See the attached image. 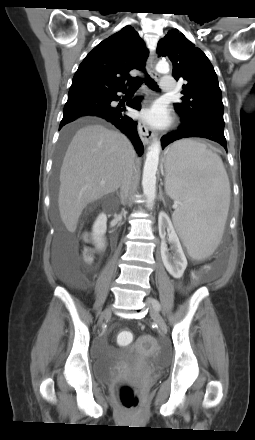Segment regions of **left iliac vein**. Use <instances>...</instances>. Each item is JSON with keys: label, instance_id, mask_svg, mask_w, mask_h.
<instances>
[{"label": "left iliac vein", "instance_id": "4c4485c4", "mask_svg": "<svg viewBox=\"0 0 255 440\" xmlns=\"http://www.w3.org/2000/svg\"><path fill=\"white\" fill-rule=\"evenodd\" d=\"M146 304H147V306L149 308L150 316L152 317V319L158 325L159 330L161 332H166L165 321H164L163 317L161 316V314L159 313V311L152 304L151 298H148L146 300Z\"/></svg>", "mask_w": 255, "mask_h": 440}]
</instances>
